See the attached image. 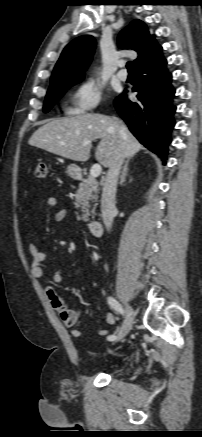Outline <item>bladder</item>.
Returning a JSON list of instances; mask_svg holds the SVG:
<instances>
[{"instance_id":"1","label":"bladder","mask_w":202,"mask_h":437,"mask_svg":"<svg viewBox=\"0 0 202 437\" xmlns=\"http://www.w3.org/2000/svg\"><path fill=\"white\" fill-rule=\"evenodd\" d=\"M114 371H115L116 373H121V372H122V369H121V368H116Z\"/></svg>"}]
</instances>
